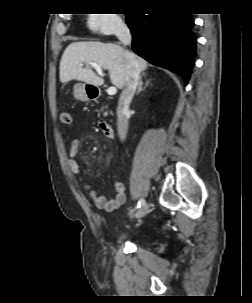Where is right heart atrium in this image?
Returning <instances> with one entry per match:
<instances>
[{
    "label": "right heart atrium",
    "instance_id": "d8ad5b80",
    "mask_svg": "<svg viewBox=\"0 0 252 303\" xmlns=\"http://www.w3.org/2000/svg\"><path fill=\"white\" fill-rule=\"evenodd\" d=\"M88 26L102 35L121 34L126 30L123 20L115 14H95L88 19Z\"/></svg>",
    "mask_w": 252,
    "mask_h": 303
}]
</instances>
